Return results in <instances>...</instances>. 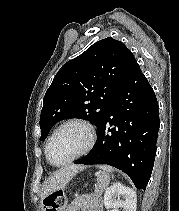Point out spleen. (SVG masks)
<instances>
[{
  "label": "spleen",
  "mask_w": 179,
  "mask_h": 211,
  "mask_svg": "<svg viewBox=\"0 0 179 211\" xmlns=\"http://www.w3.org/2000/svg\"><path fill=\"white\" fill-rule=\"evenodd\" d=\"M103 171H106L108 173H111L113 171L112 168L108 167V166H101L100 167Z\"/></svg>",
  "instance_id": "1"
}]
</instances>
